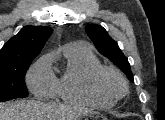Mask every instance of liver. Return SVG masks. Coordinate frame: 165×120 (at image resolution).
<instances>
[{
	"label": "liver",
	"instance_id": "liver-1",
	"mask_svg": "<svg viewBox=\"0 0 165 120\" xmlns=\"http://www.w3.org/2000/svg\"><path fill=\"white\" fill-rule=\"evenodd\" d=\"M63 110L67 113L69 120L88 111L84 108H57L55 105L33 100L0 102V120H51L61 115Z\"/></svg>",
	"mask_w": 165,
	"mask_h": 120
}]
</instances>
